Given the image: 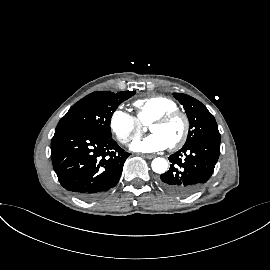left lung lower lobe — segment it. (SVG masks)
Segmentation results:
<instances>
[{"label":"left lung lower lobe","instance_id":"obj_1","mask_svg":"<svg viewBox=\"0 0 270 270\" xmlns=\"http://www.w3.org/2000/svg\"><path fill=\"white\" fill-rule=\"evenodd\" d=\"M220 154V142L201 140L184 145L169 157V170L160 175L159 184L180 196L190 195L210 179Z\"/></svg>","mask_w":270,"mask_h":270}]
</instances>
